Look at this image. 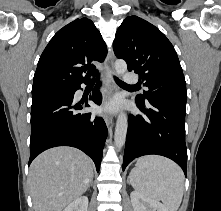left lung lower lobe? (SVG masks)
<instances>
[{"label":"left lung lower lobe","mask_w":221,"mask_h":211,"mask_svg":"<svg viewBox=\"0 0 221 211\" xmlns=\"http://www.w3.org/2000/svg\"><path fill=\"white\" fill-rule=\"evenodd\" d=\"M136 104L143 115H129L123 170L135 158L156 154L175 161L186 175V102L153 99L141 103L136 99Z\"/></svg>","instance_id":"1"}]
</instances>
